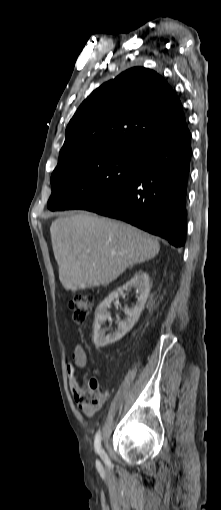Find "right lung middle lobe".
I'll return each instance as SVG.
<instances>
[{
	"mask_svg": "<svg viewBox=\"0 0 221 510\" xmlns=\"http://www.w3.org/2000/svg\"><path fill=\"white\" fill-rule=\"evenodd\" d=\"M146 149L126 147L75 155L52 173L48 208L83 209L109 198L138 172Z\"/></svg>",
	"mask_w": 221,
	"mask_h": 510,
	"instance_id": "right-lung-middle-lobe-1",
	"label": "right lung middle lobe"
}]
</instances>
